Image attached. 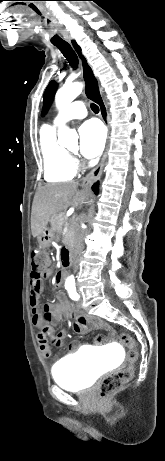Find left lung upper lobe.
<instances>
[{
    "instance_id": "obj_1",
    "label": "left lung upper lobe",
    "mask_w": 165,
    "mask_h": 461,
    "mask_svg": "<svg viewBox=\"0 0 165 461\" xmlns=\"http://www.w3.org/2000/svg\"><path fill=\"white\" fill-rule=\"evenodd\" d=\"M55 89H56V84L53 81H51L44 92L42 115H44L47 112L53 100Z\"/></svg>"
}]
</instances>
